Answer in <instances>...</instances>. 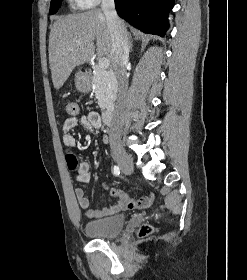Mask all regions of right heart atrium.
<instances>
[{"label":"right heart atrium","instance_id":"1","mask_svg":"<svg viewBox=\"0 0 247 280\" xmlns=\"http://www.w3.org/2000/svg\"><path fill=\"white\" fill-rule=\"evenodd\" d=\"M100 1L101 0H75V2L81 7H92Z\"/></svg>","mask_w":247,"mask_h":280}]
</instances>
